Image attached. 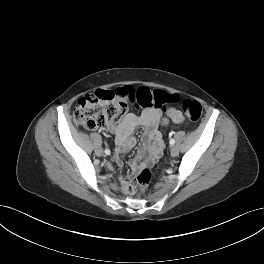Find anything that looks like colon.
<instances>
[{"label": "colon", "instance_id": "obj_1", "mask_svg": "<svg viewBox=\"0 0 264 264\" xmlns=\"http://www.w3.org/2000/svg\"><path fill=\"white\" fill-rule=\"evenodd\" d=\"M179 99L176 94L147 87L134 88L126 85L113 90H98L80 99L73 112V120L85 129L95 130L120 121L129 104L164 110ZM182 109L191 121H197L201 117L202 106L197 100H183ZM150 181V170H140L133 180L132 191L143 192Z\"/></svg>", "mask_w": 264, "mask_h": 264}]
</instances>
